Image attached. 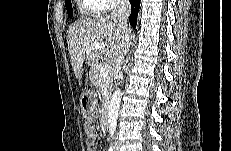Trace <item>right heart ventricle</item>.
I'll use <instances>...</instances> for the list:
<instances>
[{
    "label": "right heart ventricle",
    "instance_id": "right-heart-ventricle-1",
    "mask_svg": "<svg viewBox=\"0 0 231 151\" xmlns=\"http://www.w3.org/2000/svg\"><path fill=\"white\" fill-rule=\"evenodd\" d=\"M81 8L84 13L86 14H92V13H98L102 11V8L100 4L96 1L92 0H84L81 2Z\"/></svg>",
    "mask_w": 231,
    "mask_h": 151
}]
</instances>
